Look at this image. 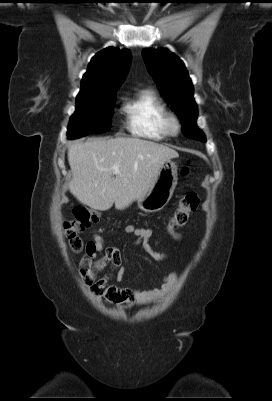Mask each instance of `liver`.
I'll list each match as a JSON object with an SVG mask.
<instances>
[{
    "instance_id": "6515ba94",
    "label": "liver",
    "mask_w": 272,
    "mask_h": 401,
    "mask_svg": "<svg viewBox=\"0 0 272 401\" xmlns=\"http://www.w3.org/2000/svg\"><path fill=\"white\" fill-rule=\"evenodd\" d=\"M174 149L137 137L92 138L68 148L70 192L83 204L105 211L127 208L150 188ZM119 166L120 173L112 167Z\"/></svg>"
}]
</instances>
